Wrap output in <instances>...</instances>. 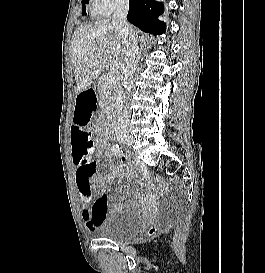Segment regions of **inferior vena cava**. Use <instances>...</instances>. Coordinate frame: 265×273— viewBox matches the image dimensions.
Returning <instances> with one entry per match:
<instances>
[{
	"label": "inferior vena cava",
	"mask_w": 265,
	"mask_h": 273,
	"mask_svg": "<svg viewBox=\"0 0 265 273\" xmlns=\"http://www.w3.org/2000/svg\"><path fill=\"white\" fill-rule=\"evenodd\" d=\"M129 4L128 0H121L112 17V23L117 26L121 36L126 42V56L125 64L121 72L122 86L125 88V93H130L133 87V75L136 69V65L139 60V51L137 39L133 33L131 27L127 23ZM126 95H124V100H126ZM129 126V116L127 109L124 107L123 113L119 116L117 124L115 127V132L117 134L128 133Z\"/></svg>",
	"instance_id": "602c4592"
}]
</instances>
